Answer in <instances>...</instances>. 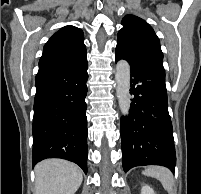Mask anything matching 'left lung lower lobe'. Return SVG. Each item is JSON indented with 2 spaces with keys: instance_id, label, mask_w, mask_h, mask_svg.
<instances>
[{
  "instance_id": "0a47b994",
  "label": "left lung lower lobe",
  "mask_w": 201,
  "mask_h": 194,
  "mask_svg": "<svg viewBox=\"0 0 201 194\" xmlns=\"http://www.w3.org/2000/svg\"><path fill=\"white\" fill-rule=\"evenodd\" d=\"M115 58L116 62L125 59L131 65L133 98L129 115L121 120L124 171L162 165L174 172L176 153L163 65L131 57L120 48H116Z\"/></svg>"
}]
</instances>
